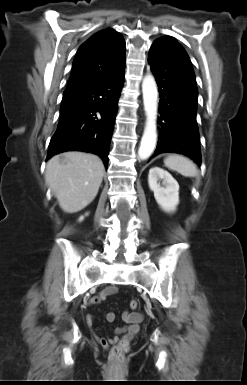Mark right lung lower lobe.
<instances>
[{"label":"right lung lower lobe","mask_w":247,"mask_h":385,"mask_svg":"<svg viewBox=\"0 0 247 385\" xmlns=\"http://www.w3.org/2000/svg\"><path fill=\"white\" fill-rule=\"evenodd\" d=\"M124 73L125 66L63 95L60 120L49 144L48 158L64 151H85L99 155L107 168Z\"/></svg>","instance_id":"right-lung-lower-lobe-1"}]
</instances>
